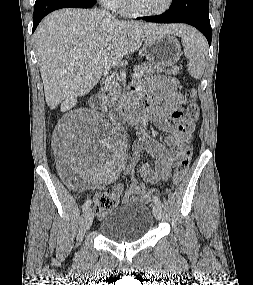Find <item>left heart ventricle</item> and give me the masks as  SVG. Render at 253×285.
I'll return each mask as SVG.
<instances>
[{
	"label": "left heart ventricle",
	"instance_id": "obj_1",
	"mask_svg": "<svg viewBox=\"0 0 253 285\" xmlns=\"http://www.w3.org/2000/svg\"><path fill=\"white\" fill-rule=\"evenodd\" d=\"M136 8L143 11H157L162 9L167 0H132Z\"/></svg>",
	"mask_w": 253,
	"mask_h": 285
}]
</instances>
